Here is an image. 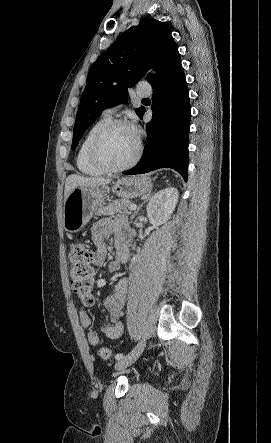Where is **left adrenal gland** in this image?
I'll list each match as a JSON object with an SVG mask.
<instances>
[{"label": "left adrenal gland", "mask_w": 271, "mask_h": 443, "mask_svg": "<svg viewBox=\"0 0 271 443\" xmlns=\"http://www.w3.org/2000/svg\"><path fill=\"white\" fill-rule=\"evenodd\" d=\"M151 196H148V198H144V202L143 204H146V202H148V200H150ZM143 204H141V206H139V208H137V212H134L133 216H131L130 220H133V218H135L136 214H138V212H140L141 208H143Z\"/></svg>", "instance_id": "1"}]
</instances>
